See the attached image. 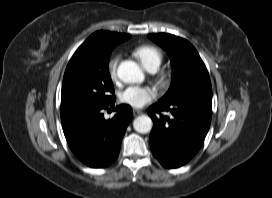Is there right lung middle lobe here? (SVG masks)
Returning a JSON list of instances; mask_svg holds the SVG:
<instances>
[{"label":"right lung middle lobe","mask_w":272,"mask_h":198,"mask_svg":"<svg viewBox=\"0 0 272 198\" xmlns=\"http://www.w3.org/2000/svg\"><path fill=\"white\" fill-rule=\"evenodd\" d=\"M115 45L99 50L64 76L61 110L86 105H104L115 99L108 62Z\"/></svg>","instance_id":"dd1d6c3e"}]
</instances>
